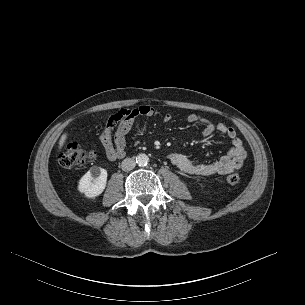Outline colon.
I'll use <instances>...</instances> for the list:
<instances>
[{
	"mask_svg": "<svg viewBox=\"0 0 305 305\" xmlns=\"http://www.w3.org/2000/svg\"><path fill=\"white\" fill-rule=\"evenodd\" d=\"M94 151L88 146L78 142H72L61 152L59 156L60 164L65 168L84 165L94 158ZM230 185H236L240 182V176L236 173L228 174L225 178Z\"/></svg>",
	"mask_w": 305,
	"mask_h": 305,
	"instance_id": "obj_1",
	"label": "colon"
}]
</instances>
